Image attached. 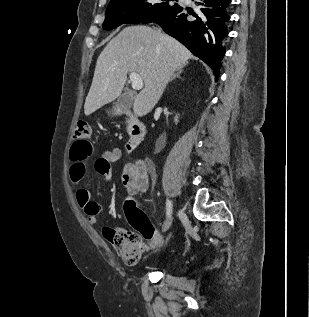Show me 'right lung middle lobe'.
I'll list each match as a JSON object with an SVG mask.
<instances>
[{"mask_svg": "<svg viewBox=\"0 0 309 317\" xmlns=\"http://www.w3.org/2000/svg\"><path fill=\"white\" fill-rule=\"evenodd\" d=\"M172 1L110 0L103 29L112 30L125 23L139 24L148 18L176 8L178 4Z\"/></svg>", "mask_w": 309, "mask_h": 317, "instance_id": "obj_1", "label": "right lung middle lobe"}]
</instances>
